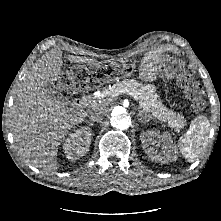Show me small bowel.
<instances>
[{
	"instance_id": "obj_1",
	"label": "small bowel",
	"mask_w": 221,
	"mask_h": 221,
	"mask_svg": "<svg viewBox=\"0 0 221 221\" xmlns=\"http://www.w3.org/2000/svg\"><path fill=\"white\" fill-rule=\"evenodd\" d=\"M140 77L146 82H152L156 78L155 61L145 58L140 71Z\"/></svg>"
}]
</instances>
